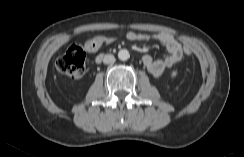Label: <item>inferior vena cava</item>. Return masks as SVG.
<instances>
[{
  "instance_id": "602c4592",
  "label": "inferior vena cava",
  "mask_w": 244,
  "mask_h": 157,
  "mask_svg": "<svg viewBox=\"0 0 244 157\" xmlns=\"http://www.w3.org/2000/svg\"><path fill=\"white\" fill-rule=\"evenodd\" d=\"M114 62H115V57L112 54H106L103 57V63L104 64H111V63H114Z\"/></svg>"
}]
</instances>
